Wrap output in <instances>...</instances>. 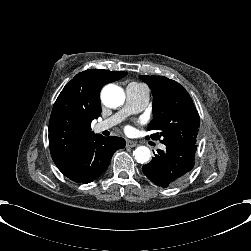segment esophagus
<instances>
[{
  "label": "esophagus",
  "mask_w": 251,
  "mask_h": 251,
  "mask_svg": "<svg viewBox=\"0 0 251 251\" xmlns=\"http://www.w3.org/2000/svg\"><path fill=\"white\" fill-rule=\"evenodd\" d=\"M138 144L136 143V142H134V141H132V140H127L126 141V146L127 147H135V146H137Z\"/></svg>",
  "instance_id": "obj_1"
}]
</instances>
